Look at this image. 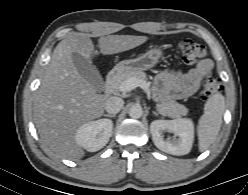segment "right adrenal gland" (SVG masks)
Segmentation results:
<instances>
[{
    "instance_id": "2a0ac1e0",
    "label": "right adrenal gland",
    "mask_w": 248,
    "mask_h": 195,
    "mask_svg": "<svg viewBox=\"0 0 248 195\" xmlns=\"http://www.w3.org/2000/svg\"><path fill=\"white\" fill-rule=\"evenodd\" d=\"M103 116H105V117H109V118H114V117H116V115L115 114H104Z\"/></svg>"
}]
</instances>
